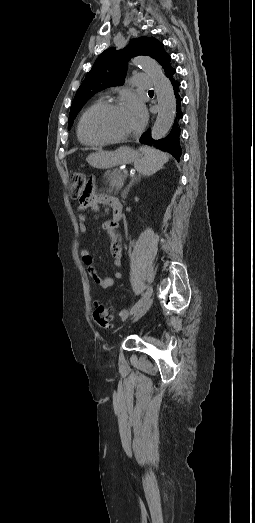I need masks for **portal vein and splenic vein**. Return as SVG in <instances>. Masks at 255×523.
<instances>
[{
  "instance_id": "18ae733b",
  "label": "portal vein and splenic vein",
  "mask_w": 255,
  "mask_h": 523,
  "mask_svg": "<svg viewBox=\"0 0 255 523\" xmlns=\"http://www.w3.org/2000/svg\"><path fill=\"white\" fill-rule=\"evenodd\" d=\"M123 174L129 176L131 174V171L129 169H126L125 171H123Z\"/></svg>"
}]
</instances>
